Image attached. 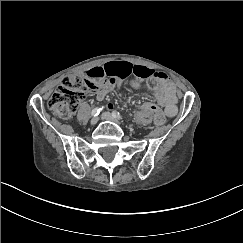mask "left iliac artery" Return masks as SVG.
I'll return each mask as SVG.
<instances>
[{
  "label": "left iliac artery",
  "instance_id": "left-iliac-artery-1",
  "mask_svg": "<svg viewBox=\"0 0 243 243\" xmlns=\"http://www.w3.org/2000/svg\"><path fill=\"white\" fill-rule=\"evenodd\" d=\"M112 115H113L115 118L122 119V116H121L120 113L117 112V111H113Z\"/></svg>",
  "mask_w": 243,
  "mask_h": 243
}]
</instances>
